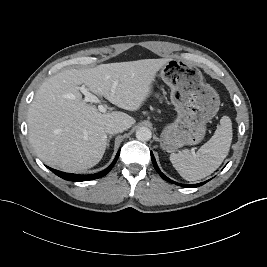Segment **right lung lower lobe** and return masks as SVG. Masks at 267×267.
<instances>
[{
  "mask_svg": "<svg viewBox=\"0 0 267 267\" xmlns=\"http://www.w3.org/2000/svg\"><path fill=\"white\" fill-rule=\"evenodd\" d=\"M119 153L120 150L118 151L117 155L114 158V161L111 163V165L106 168L104 171H101L99 173L96 174H90V175H77V174H71V173H65V172H61L55 169H52L50 167H48L54 174H56L57 176L68 180V181H76V182H80V181H87V180H92V179H97V178H101L103 176H105L115 165L118 157H119Z\"/></svg>",
  "mask_w": 267,
  "mask_h": 267,
  "instance_id": "right-lung-lower-lobe-1",
  "label": "right lung lower lobe"
}]
</instances>
